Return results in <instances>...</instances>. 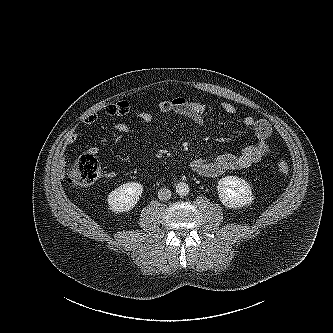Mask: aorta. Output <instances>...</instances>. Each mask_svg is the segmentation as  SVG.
Returning a JSON list of instances; mask_svg holds the SVG:
<instances>
[{"label": "aorta", "mask_w": 333, "mask_h": 333, "mask_svg": "<svg viewBox=\"0 0 333 333\" xmlns=\"http://www.w3.org/2000/svg\"><path fill=\"white\" fill-rule=\"evenodd\" d=\"M190 189L188 184L184 183V182H179L176 185V193L179 196H186L189 193Z\"/></svg>", "instance_id": "762f6f07"}]
</instances>
